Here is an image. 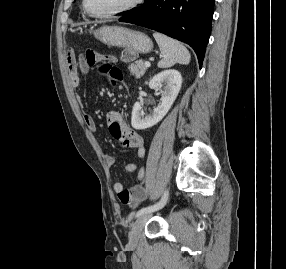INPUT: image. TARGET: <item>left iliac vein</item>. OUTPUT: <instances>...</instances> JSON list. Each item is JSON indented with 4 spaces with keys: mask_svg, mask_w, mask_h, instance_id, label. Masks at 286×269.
<instances>
[{
    "mask_svg": "<svg viewBox=\"0 0 286 269\" xmlns=\"http://www.w3.org/2000/svg\"><path fill=\"white\" fill-rule=\"evenodd\" d=\"M150 216H151V212H147V213L140 215L136 219V221L134 222L132 226L131 232L129 234L130 244L134 245L138 242V239L141 235L144 225Z\"/></svg>",
    "mask_w": 286,
    "mask_h": 269,
    "instance_id": "1",
    "label": "left iliac vein"
}]
</instances>
